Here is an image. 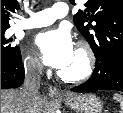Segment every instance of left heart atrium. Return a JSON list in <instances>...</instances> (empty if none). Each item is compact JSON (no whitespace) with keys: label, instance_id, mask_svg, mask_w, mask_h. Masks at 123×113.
I'll use <instances>...</instances> for the list:
<instances>
[{"label":"left heart atrium","instance_id":"left-heart-atrium-1","mask_svg":"<svg viewBox=\"0 0 123 113\" xmlns=\"http://www.w3.org/2000/svg\"><path fill=\"white\" fill-rule=\"evenodd\" d=\"M35 45L46 65L63 69L73 59L75 50L70 33L63 28L38 34Z\"/></svg>","mask_w":123,"mask_h":113}]
</instances>
